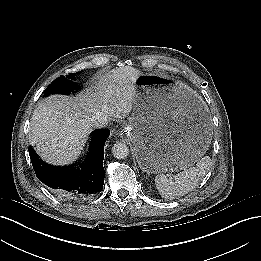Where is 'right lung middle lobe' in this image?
Instances as JSON below:
<instances>
[{"mask_svg": "<svg viewBox=\"0 0 261 261\" xmlns=\"http://www.w3.org/2000/svg\"><path fill=\"white\" fill-rule=\"evenodd\" d=\"M74 73L69 74L68 77L60 76L54 80L45 90L44 95L49 94H69L70 92L79 90L80 86L73 82Z\"/></svg>", "mask_w": 261, "mask_h": 261, "instance_id": "1", "label": "right lung middle lobe"}]
</instances>
